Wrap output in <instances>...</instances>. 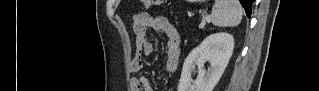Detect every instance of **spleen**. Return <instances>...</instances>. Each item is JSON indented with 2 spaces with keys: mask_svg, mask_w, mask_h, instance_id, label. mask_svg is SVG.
<instances>
[{
  "mask_svg": "<svg viewBox=\"0 0 319 91\" xmlns=\"http://www.w3.org/2000/svg\"><path fill=\"white\" fill-rule=\"evenodd\" d=\"M243 9L238 0H216L211 12L213 25L235 27L242 20Z\"/></svg>",
  "mask_w": 319,
  "mask_h": 91,
  "instance_id": "spleen-1",
  "label": "spleen"
}]
</instances>
